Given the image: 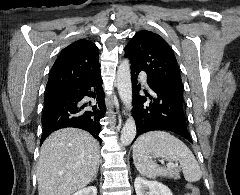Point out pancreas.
Wrapping results in <instances>:
<instances>
[{"label":"pancreas","instance_id":"obj_1","mask_svg":"<svg viewBox=\"0 0 240 195\" xmlns=\"http://www.w3.org/2000/svg\"><path fill=\"white\" fill-rule=\"evenodd\" d=\"M164 175L165 177H173V179H179V169H177V167H166Z\"/></svg>","mask_w":240,"mask_h":195}]
</instances>
